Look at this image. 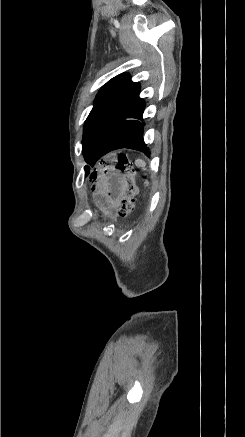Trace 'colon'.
Masks as SVG:
<instances>
[{
	"mask_svg": "<svg viewBox=\"0 0 245 437\" xmlns=\"http://www.w3.org/2000/svg\"><path fill=\"white\" fill-rule=\"evenodd\" d=\"M123 174V185L119 195L118 212L125 216L134 209L137 186L135 184V169L125 154L118 157L116 166Z\"/></svg>",
	"mask_w": 245,
	"mask_h": 437,
	"instance_id": "colon-1",
	"label": "colon"
}]
</instances>
